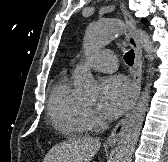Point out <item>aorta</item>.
<instances>
[{
  "mask_svg": "<svg viewBox=\"0 0 168 162\" xmlns=\"http://www.w3.org/2000/svg\"><path fill=\"white\" fill-rule=\"evenodd\" d=\"M124 23L118 19H108L103 22L91 23L85 33L84 50L87 54L95 53L108 43L119 37L124 31ZM139 41L146 51V58L152 62L155 58V49L149 35L140 30ZM150 79L153 68L148 70ZM149 79V76L147 77ZM74 85L77 96L82 100H92L98 95V84L87 68L78 69L74 74ZM151 82L147 83L141 97L128 119L124 132L117 145L113 162H131L136 143L143 125L145 114L150 100Z\"/></svg>",
  "mask_w": 168,
  "mask_h": 162,
  "instance_id": "aorta-1",
  "label": "aorta"
}]
</instances>
